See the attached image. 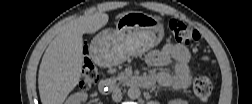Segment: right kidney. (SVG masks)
<instances>
[{
	"label": "right kidney",
	"instance_id": "obj_1",
	"mask_svg": "<svg viewBox=\"0 0 252 104\" xmlns=\"http://www.w3.org/2000/svg\"><path fill=\"white\" fill-rule=\"evenodd\" d=\"M87 97V93L77 92L68 97L66 104H80L82 101L86 100Z\"/></svg>",
	"mask_w": 252,
	"mask_h": 104
}]
</instances>
